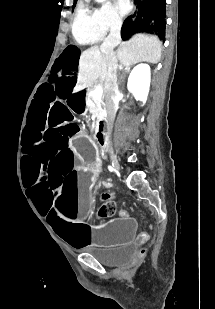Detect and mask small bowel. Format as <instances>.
I'll return each instance as SVG.
<instances>
[{
  "instance_id": "obj_1",
  "label": "small bowel",
  "mask_w": 215,
  "mask_h": 309,
  "mask_svg": "<svg viewBox=\"0 0 215 309\" xmlns=\"http://www.w3.org/2000/svg\"><path fill=\"white\" fill-rule=\"evenodd\" d=\"M121 216H122L123 218H126V217L128 216V214H127L126 211H122V212H121Z\"/></svg>"
}]
</instances>
